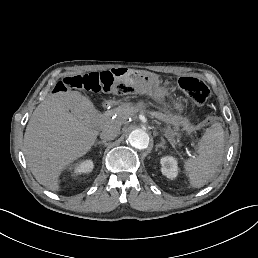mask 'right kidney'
Returning <instances> with one entry per match:
<instances>
[{
    "label": "right kidney",
    "mask_w": 258,
    "mask_h": 258,
    "mask_svg": "<svg viewBox=\"0 0 258 258\" xmlns=\"http://www.w3.org/2000/svg\"><path fill=\"white\" fill-rule=\"evenodd\" d=\"M93 169L94 161L92 159H85L73 164L70 168V173L73 177H79L91 173Z\"/></svg>",
    "instance_id": "right-kidney-1"
}]
</instances>
